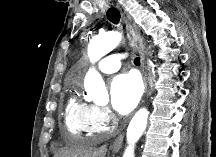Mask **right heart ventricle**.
Segmentation results:
<instances>
[{
	"instance_id": "1",
	"label": "right heart ventricle",
	"mask_w": 216,
	"mask_h": 157,
	"mask_svg": "<svg viewBox=\"0 0 216 157\" xmlns=\"http://www.w3.org/2000/svg\"><path fill=\"white\" fill-rule=\"evenodd\" d=\"M91 105L73 95L67 102L65 111V125L67 130L74 136H81L88 132L86 128L87 115Z\"/></svg>"
}]
</instances>
